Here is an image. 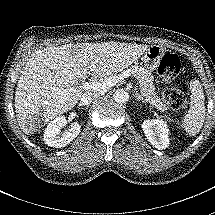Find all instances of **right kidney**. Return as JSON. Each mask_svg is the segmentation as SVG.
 Returning <instances> with one entry per match:
<instances>
[{
  "mask_svg": "<svg viewBox=\"0 0 215 215\" xmlns=\"http://www.w3.org/2000/svg\"><path fill=\"white\" fill-rule=\"evenodd\" d=\"M67 123L65 116H59L52 120L45 128L44 143L50 147L60 148L72 142L79 135L81 126L74 122L67 130L61 132Z\"/></svg>",
  "mask_w": 215,
  "mask_h": 215,
  "instance_id": "right-kidney-1",
  "label": "right kidney"
}]
</instances>
